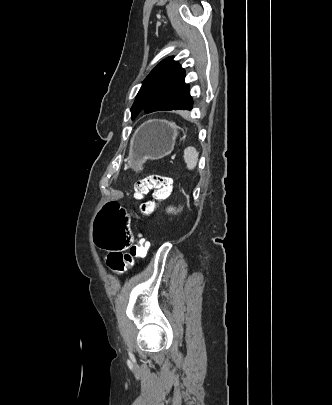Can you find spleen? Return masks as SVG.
<instances>
[{
	"instance_id": "3e777b00",
	"label": "spleen",
	"mask_w": 332,
	"mask_h": 405,
	"mask_svg": "<svg viewBox=\"0 0 332 405\" xmlns=\"http://www.w3.org/2000/svg\"><path fill=\"white\" fill-rule=\"evenodd\" d=\"M198 157L199 153L194 147L189 146L184 150L183 158L189 170H194V168H196Z\"/></svg>"
}]
</instances>
